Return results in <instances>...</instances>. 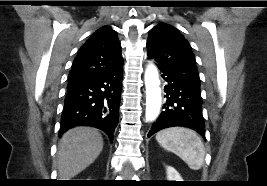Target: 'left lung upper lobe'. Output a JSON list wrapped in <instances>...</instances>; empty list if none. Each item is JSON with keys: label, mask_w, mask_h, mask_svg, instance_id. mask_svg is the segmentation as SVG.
<instances>
[{"label": "left lung upper lobe", "mask_w": 267, "mask_h": 186, "mask_svg": "<svg viewBox=\"0 0 267 186\" xmlns=\"http://www.w3.org/2000/svg\"><path fill=\"white\" fill-rule=\"evenodd\" d=\"M147 55L158 67L169 69L200 86L195 56L188 41L176 28L160 23L153 27L147 40Z\"/></svg>", "instance_id": "5c2ea615"}]
</instances>
